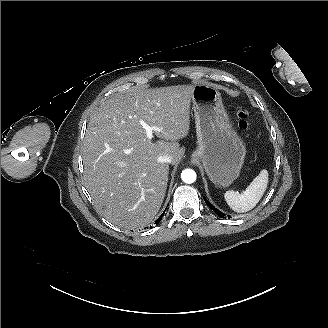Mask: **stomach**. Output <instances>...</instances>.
Instances as JSON below:
<instances>
[{"label": "stomach", "mask_w": 328, "mask_h": 328, "mask_svg": "<svg viewBox=\"0 0 328 328\" xmlns=\"http://www.w3.org/2000/svg\"><path fill=\"white\" fill-rule=\"evenodd\" d=\"M192 109L198 144L194 154L211 182L217 187H227L240 174L245 144L232 128L221 94L213 84L193 86Z\"/></svg>", "instance_id": "1"}]
</instances>
